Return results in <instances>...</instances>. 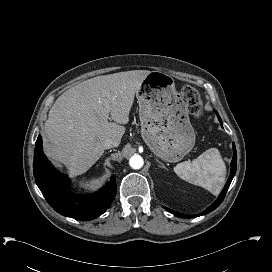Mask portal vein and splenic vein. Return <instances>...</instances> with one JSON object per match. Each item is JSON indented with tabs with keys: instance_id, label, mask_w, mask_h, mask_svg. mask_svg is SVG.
<instances>
[{
	"instance_id": "1",
	"label": "portal vein and splenic vein",
	"mask_w": 272,
	"mask_h": 272,
	"mask_svg": "<svg viewBox=\"0 0 272 272\" xmlns=\"http://www.w3.org/2000/svg\"><path fill=\"white\" fill-rule=\"evenodd\" d=\"M103 103L106 109H109L110 101L108 99H103Z\"/></svg>"
}]
</instances>
